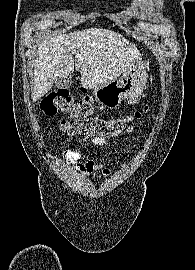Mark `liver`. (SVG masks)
Here are the masks:
<instances>
[{"instance_id":"obj_1","label":"liver","mask_w":195,"mask_h":270,"mask_svg":"<svg viewBox=\"0 0 195 270\" xmlns=\"http://www.w3.org/2000/svg\"><path fill=\"white\" fill-rule=\"evenodd\" d=\"M141 60L134 44L108 29L55 34L38 45L32 100L36 102L47 94L59 77L72 75L74 68L81 73V85L94 90L117 79Z\"/></svg>"}]
</instances>
